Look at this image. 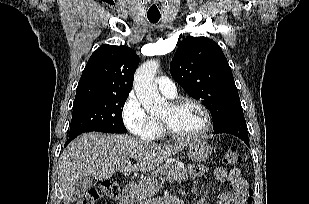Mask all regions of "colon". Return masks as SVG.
<instances>
[{
    "instance_id": "obj_1",
    "label": "colon",
    "mask_w": 309,
    "mask_h": 204,
    "mask_svg": "<svg viewBox=\"0 0 309 204\" xmlns=\"http://www.w3.org/2000/svg\"><path fill=\"white\" fill-rule=\"evenodd\" d=\"M224 162L227 165L233 166L241 163V156L237 149L233 146L227 147L224 154ZM120 185L113 181H105L97 188L87 190L76 201L75 204H95L97 200L102 197H108L110 199H117L120 195ZM248 203H252V191L248 193Z\"/></svg>"
}]
</instances>
